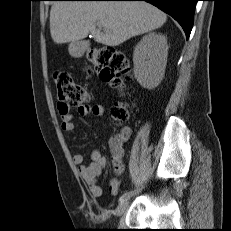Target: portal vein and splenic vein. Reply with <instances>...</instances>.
<instances>
[{
    "instance_id": "portal-vein-and-splenic-vein-1",
    "label": "portal vein and splenic vein",
    "mask_w": 231,
    "mask_h": 231,
    "mask_svg": "<svg viewBox=\"0 0 231 231\" xmlns=\"http://www.w3.org/2000/svg\"><path fill=\"white\" fill-rule=\"evenodd\" d=\"M98 27H102V25H101V24H98Z\"/></svg>"
}]
</instances>
